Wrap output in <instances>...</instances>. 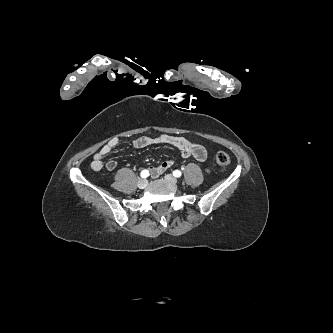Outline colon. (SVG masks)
I'll list each match as a JSON object with an SVG mask.
<instances>
[{"instance_id":"obj_1","label":"colon","mask_w":333,"mask_h":333,"mask_svg":"<svg viewBox=\"0 0 333 333\" xmlns=\"http://www.w3.org/2000/svg\"><path fill=\"white\" fill-rule=\"evenodd\" d=\"M216 163L222 169H227L230 165V157L227 153L220 151L216 154Z\"/></svg>"}]
</instances>
